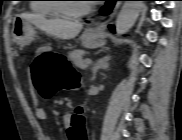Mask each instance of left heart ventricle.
Listing matches in <instances>:
<instances>
[{"label": "left heart ventricle", "mask_w": 182, "mask_h": 140, "mask_svg": "<svg viewBox=\"0 0 182 140\" xmlns=\"http://www.w3.org/2000/svg\"><path fill=\"white\" fill-rule=\"evenodd\" d=\"M85 1H76V0H70L68 3H66V6L71 11H78L83 9L86 6Z\"/></svg>", "instance_id": "1"}]
</instances>
